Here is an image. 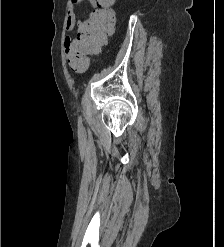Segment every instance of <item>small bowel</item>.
<instances>
[{
    "mask_svg": "<svg viewBox=\"0 0 224 247\" xmlns=\"http://www.w3.org/2000/svg\"><path fill=\"white\" fill-rule=\"evenodd\" d=\"M84 3H89L93 8L97 6V0H71L65 20V26L68 31L77 29V32L79 33L81 30L85 21H80L77 19L76 9ZM64 47L69 60L72 63L75 57L79 54L77 38L67 36L64 40Z\"/></svg>",
    "mask_w": 224,
    "mask_h": 247,
    "instance_id": "obj_1",
    "label": "small bowel"
}]
</instances>
